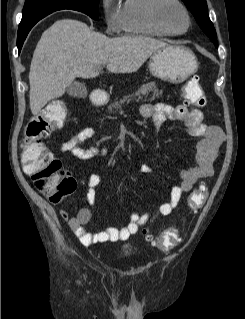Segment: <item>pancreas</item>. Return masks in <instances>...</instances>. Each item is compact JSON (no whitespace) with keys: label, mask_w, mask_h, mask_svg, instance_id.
I'll return each instance as SVG.
<instances>
[{"label":"pancreas","mask_w":245,"mask_h":319,"mask_svg":"<svg viewBox=\"0 0 245 319\" xmlns=\"http://www.w3.org/2000/svg\"><path fill=\"white\" fill-rule=\"evenodd\" d=\"M149 93H151L149 100H154L162 96L163 90H159L155 82L143 84L134 93L124 96L120 101L109 104L108 111L114 113V111L120 110L126 101L142 100L144 97H147Z\"/></svg>","instance_id":"pancreas-1"}]
</instances>
